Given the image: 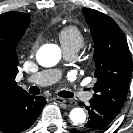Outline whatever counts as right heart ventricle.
Wrapping results in <instances>:
<instances>
[{
    "mask_svg": "<svg viewBox=\"0 0 133 133\" xmlns=\"http://www.w3.org/2000/svg\"><path fill=\"white\" fill-rule=\"evenodd\" d=\"M57 35L64 52H78L84 45V36L76 26H66Z\"/></svg>",
    "mask_w": 133,
    "mask_h": 133,
    "instance_id": "e07e8e85",
    "label": "right heart ventricle"
}]
</instances>
